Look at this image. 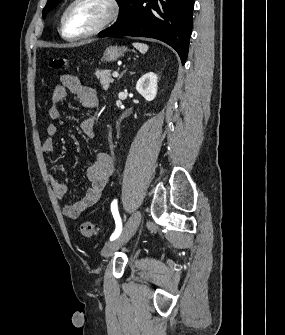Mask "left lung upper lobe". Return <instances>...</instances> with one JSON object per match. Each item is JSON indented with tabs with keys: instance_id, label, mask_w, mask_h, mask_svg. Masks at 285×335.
<instances>
[{
	"instance_id": "5c2ea615",
	"label": "left lung upper lobe",
	"mask_w": 285,
	"mask_h": 335,
	"mask_svg": "<svg viewBox=\"0 0 285 335\" xmlns=\"http://www.w3.org/2000/svg\"><path fill=\"white\" fill-rule=\"evenodd\" d=\"M61 0H48L45 8L43 9V17L45 18L46 14L52 10ZM119 4L122 2V0H117Z\"/></svg>"
}]
</instances>
